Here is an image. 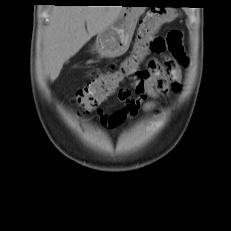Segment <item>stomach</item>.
I'll return each mask as SVG.
<instances>
[{
  "mask_svg": "<svg viewBox=\"0 0 231 231\" xmlns=\"http://www.w3.org/2000/svg\"><path fill=\"white\" fill-rule=\"evenodd\" d=\"M145 9L146 7H124L117 19L98 33L92 50L107 58L123 55L129 48L137 21Z\"/></svg>",
  "mask_w": 231,
  "mask_h": 231,
  "instance_id": "1",
  "label": "stomach"
}]
</instances>
